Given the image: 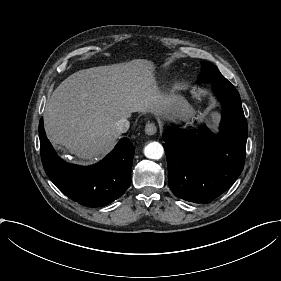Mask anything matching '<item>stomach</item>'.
Returning a JSON list of instances; mask_svg holds the SVG:
<instances>
[{
  "label": "stomach",
  "mask_w": 281,
  "mask_h": 281,
  "mask_svg": "<svg viewBox=\"0 0 281 281\" xmlns=\"http://www.w3.org/2000/svg\"><path fill=\"white\" fill-rule=\"evenodd\" d=\"M193 109L190 105L181 107L174 115L173 119L188 122L192 117Z\"/></svg>",
  "instance_id": "1"
}]
</instances>
